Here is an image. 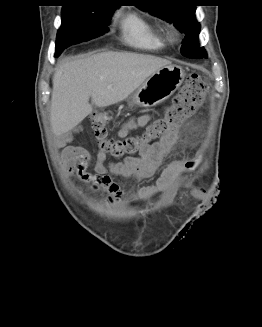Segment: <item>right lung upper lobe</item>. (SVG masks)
Listing matches in <instances>:
<instances>
[{
  "mask_svg": "<svg viewBox=\"0 0 262 327\" xmlns=\"http://www.w3.org/2000/svg\"><path fill=\"white\" fill-rule=\"evenodd\" d=\"M69 3H74V4H91V5H96V6H101V7H111L110 5H107V0H66ZM65 7V6H64Z\"/></svg>",
  "mask_w": 262,
  "mask_h": 327,
  "instance_id": "obj_1",
  "label": "right lung upper lobe"
}]
</instances>
